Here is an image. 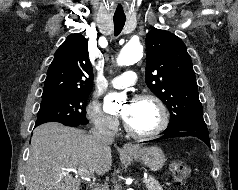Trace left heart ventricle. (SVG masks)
Masks as SVG:
<instances>
[{
  "label": "left heart ventricle",
  "mask_w": 238,
  "mask_h": 190,
  "mask_svg": "<svg viewBox=\"0 0 238 190\" xmlns=\"http://www.w3.org/2000/svg\"><path fill=\"white\" fill-rule=\"evenodd\" d=\"M129 108L126 118L128 125L138 132H147L154 129L159 123V112L156 106L147 100H134L122 107V113Z\"/></svg>",
  "instance_id": "obj_1"
}]
</instances>
